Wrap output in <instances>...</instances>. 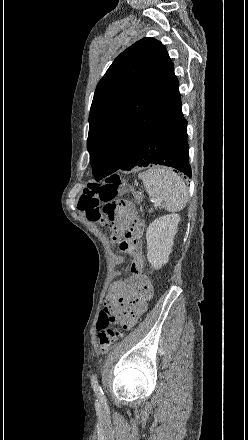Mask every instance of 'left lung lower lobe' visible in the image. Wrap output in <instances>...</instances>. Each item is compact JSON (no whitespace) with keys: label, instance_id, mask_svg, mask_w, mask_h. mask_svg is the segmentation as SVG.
<instances>
[{"label":"left lung lower lobe","instance_id":"left-lung-lower-lobe-1","mask_svg":"<svg viewBox=\"0 0 248 440\" xmlns=\"http://www.w3.org/2000/svg\"><path fill=\"white\" fill-rule=\"evenodd\" d=\"M188 151L187 121L180 102L132 145L118 169L130 171L159 164L176 168L191 178Z\"/></svg>","mask_w":248,"mask_h":440}]
</instances>
